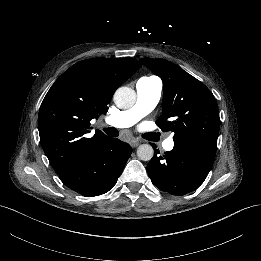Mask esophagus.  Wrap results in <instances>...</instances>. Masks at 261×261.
<instances>
[{"label":"esophagus","instance_id":"esophagus-1","mask_svg":"<svg viewBox=\"0 0 261 261\" xmlns=\"http://www.w3.org/2000/svg\"><path fill=\"white\" fill-rule=\"evenodd\" d=\"M140 143H141L140 140L133 139V140L130 142V145H131L133 148H136L137 146H139Z\"/></svg>","mask_w":261,"mask_h":261}]
</instances>
